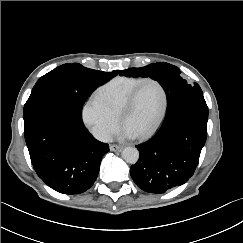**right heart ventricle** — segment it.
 I'll return each mask as SVG.
<instances>
[{"mask_svg":"<svg viewBox=\"0 0 243 243\" xmlns=\"http://www.w3.org/2000/svg\"><path fill=\"white\" fill-rule=\"evenodd\" d=\"M143 79L144 77H117L101 86L95 95L113 114L118 116L120 108L130 92Z\"/></svg>","mask_w":243,"mask_h":243,"instance_id":"right-heart-ventricle-1","label":"right heart ventricle"}]
</instances>
